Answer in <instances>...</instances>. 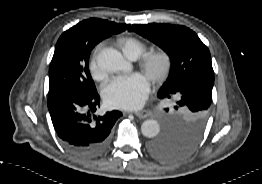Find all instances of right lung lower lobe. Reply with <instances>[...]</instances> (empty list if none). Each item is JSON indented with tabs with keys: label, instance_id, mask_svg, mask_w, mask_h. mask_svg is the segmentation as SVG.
<instances>
[{
	"label": "right lung lower lobe",
	"instance_id": "1",
	"mask_svg": "<svg viewBox=\"0 0 262 184\" xmlns=\"http://www.w3.org/2000/svg\"><path fill=\"white\" fill-rule=\"evenodd\" d=\"M100 107L95 93H80L68 89H50L48 109L51 120L61 141L74 151L95 154L108 137L121 112L112 111L103 117L94 112Z\"/></svg>",
	"mask_w": 262,
	"mask_h": 184
}]
</instances>
